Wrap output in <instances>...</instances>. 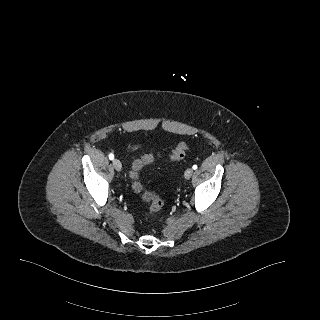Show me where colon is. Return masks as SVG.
Masks as SVG:
<instances>
[{
    "mask_svg": "<svg viewBox=\"0 0 320 320\" xmlns=\"http://www.w3.org/2000/svg\"><path fill=\"white\" fill-rule=\"evenodd\" d=\"M139 149L138 145L130 146V151H136ZM188 149V145L186 142L181 141L179 142L176 147L168 154L166 157L167 160L170 161H179L184 158L186 151ZM160 155H153V154H145L140 158L136 159L131 166L130 170V178L132 180V188L133 190L138 193L144 201L148 203L149 207V214L152 217H155L157 213L162 209L164 203L161 197L155 191H148L144 188L142 183L140 182V171L141 169L151 164L158 159H160Z\"/></svg>",
    "mask_w": 320,
    "mask_h": 320,
    "instance_id": "colon-1",
    "label": "colon"
}]
</instances>
